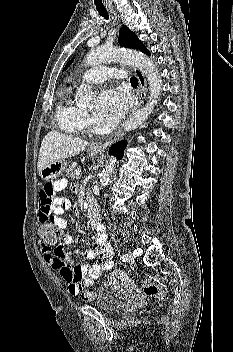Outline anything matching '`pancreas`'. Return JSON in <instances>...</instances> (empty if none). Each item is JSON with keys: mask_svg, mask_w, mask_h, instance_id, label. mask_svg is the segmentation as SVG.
I'll list each match as a JSON object with an SVG mask.
<instances>
[{"mask_svg": "<svg viewBox=\"0 0 233 352\" xmlns=\"http://www.w3.org/2000/svg\"><path fill=\"white\" fill-rule=\"evenodd\" d=\"M76 168H77V164L76 163H72L71 165H69L66 168V175H67L68 178H71V179L74 178Z\"/></svg>", "mask_w": 233, "mask_h": 352, "instance_id": "1", "label": "pancreas"}]
</instances>
